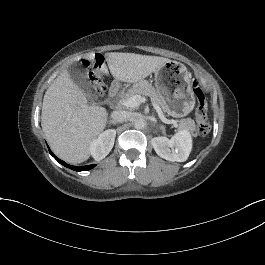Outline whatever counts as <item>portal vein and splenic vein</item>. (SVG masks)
<instances>
[{
	"mask_svg": "<svg viewBox=\"0 0 265 265\" xmlns=\"http://www.w3.org/2000/svg\"><path fill=\"white\" fill-rule=\"evenodd\" d=\"M145 101H146L145 97H142L141 95L136 94L127 100H123L121 103H122V105H124L126 107L135 108V107L139 106L141 103H144ZM152 105H153L154 109L156 110V112L158 113L160 120L163 123L177 125V123L174 120H169L164 116L159 105H157L156 103H152Z\"/></svg>",
	"mask_w": 265,
	"mask_h": 265,
	"instance_id": "18ae733b",
	"label": "portal vein and splenic vein"
}]
</instances>
